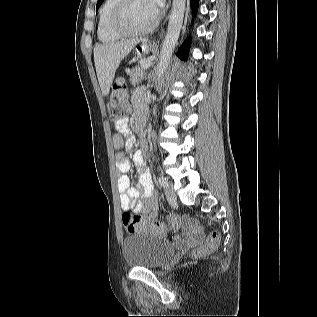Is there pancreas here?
I'll use <instances>...</instances> for the list:
<instances>
[{
    "label": "pancreas",
    "instance_id": "pancreas-1",
    "mask_svg": "<svg viewBox=\"0 0 317 317\" xmlns=\"http://www.w3.org/2000/svg\"><path fill=\"white\" fill-rule=\"evenodd\" d=\"M136 65L137 67L128 69L126 71V73L130 76V82L133 86L140 83L144 79L145 75V69L141 68V66H138V63Z\"/></svg>",
    "mask_w": 317,
    "mask_h": 317
}]
</instances>
